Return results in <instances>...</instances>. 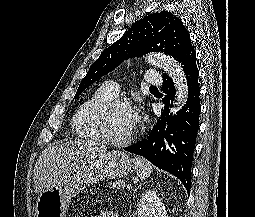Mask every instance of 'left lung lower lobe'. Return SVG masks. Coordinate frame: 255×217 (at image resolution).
<instances>
[{"instance_id":"0a47b994","label":"left lung lower lobe","mask_w":255,"mask_h":217,"mask_svg":"<svg viewBox=\"0 0 255 217\" xmlns=\"http://www.w3.org/2000/svg\"><path fill=\"white\" fill-rule=\"evenodd\" d=\"M177 61L181 64L187 78L186 105L177 115L170 113L175 87L173 80L164 74L162 88L165 94L162 101L165 106L161 111V118L145 140L124 149L145 157L158 168L176 176L189 193L192 158L201 111L199 70L193 46L185 48L177 57Z\"/></svg>"}]
</instances>
